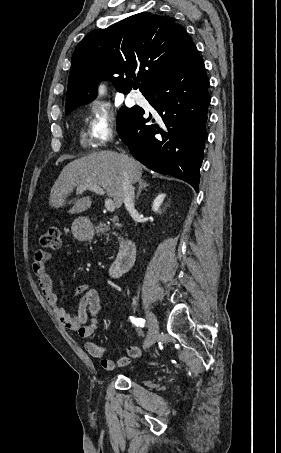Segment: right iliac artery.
<instances>
[{
	"mask_svg": "<svg viewBox=\"0 0 281 453\" xmlns=\"http://www.w3.org/2000/svg\"><path fill=\"white\" fill-rule=\"evenodd\" d=\"M130 319H131V322L133 324H135L137 327L138 326L144 327V325H145V320L142 318H134V317L130 316Z\"/></svg>",
	"mask_w": 281,
	"mask_h": 453,
	"instance_id": "obj_1",
	"label": "right iliac artery"
}]
</instances>
